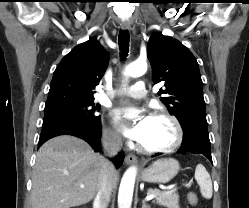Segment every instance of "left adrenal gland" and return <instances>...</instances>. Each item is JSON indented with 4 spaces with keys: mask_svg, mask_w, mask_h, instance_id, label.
Wrapping results in <instances>:
<instances>
[{
    "mask_svg": "<svg viewBox=\"0 0 249 208\" xmlns=\"http://www.w3.org/2000/svg\"><path fill=\"white\" fill-rule=\"evenodd\" d=\"M142 208H151V206L145 200H142Z\"/></svg>",
    "mask_w": 249,
    "mask_h": 208,
    "instance_id": "a2214340",
    "label": "left adrenal gland"
}]
</instances>
